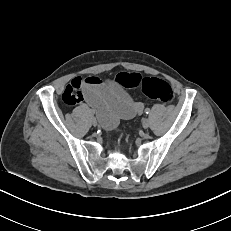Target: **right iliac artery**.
I'll return each instance as SVG.
<instances>
[{"mask_svg": "<svg viewBox=\"0 0 231 231\" xmlns=\"http://www.w3.org/2000/svg\"><path fill=\"white\" fill-rule=\"evenodd\" d=\"M90 114H91V115H94V111H93V110H90Z\"/></svg>", "mask_w": 231, "mask_h": 231, "instance_id": "82829eb1", "label": "right iliac artery"}]
</instances>
